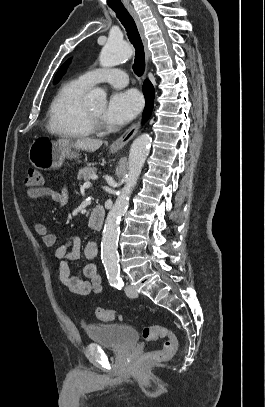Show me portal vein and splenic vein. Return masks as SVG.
<instances>
[{
    "mask_svg": "<svg viewBox=\"0 0 265 407\" xmlns=\"http://www.w3.org/2000/svg\"><path fill=\"white\" fill-rule=\"evenodd\" d=\"M83 186H84L85 188H88V187L91 186V182L87 181V182H85V183L83 184Z\"/></svg>",
    "mask_w": 265,
    "mask_h": 407,
    "instance_id": "portal-vein-and-splenic-vein-1",
    "label": "portal vein and splenic vein"
}]
</instances>
